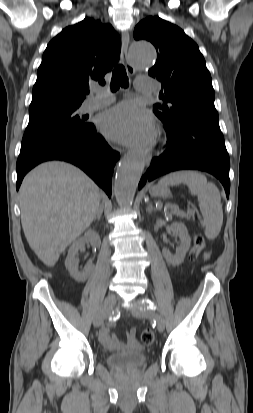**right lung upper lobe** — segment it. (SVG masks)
Returning a JSON list of instances; mask_svg holds the SVG:
<instances>
[{
    "mask_svg": "<svg viewBox=\"0 0 253 413\" xmlns=\"http://www.w3.org/2000/svg\"><path fill=\"white\" fill-rule=\"evenodd\" d=\"M121 41L111 25L92 18L66 27L48 44L33 87L30 112L80 106L89 83L104 75L120 56Z\"/></svg>",
    "mask_w": 253,
    "mask_h": 413,
    "instance_id": "right-lung-upper-lobe-1",
    "label": "right lung upper lobe"
}]
</instances>
